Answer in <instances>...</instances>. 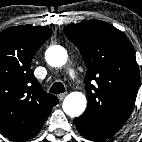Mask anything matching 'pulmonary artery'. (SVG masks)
Segmentation results:
<instances>
[{"instance_id": "pulmonary-artery-1", "label": "pulmonary artery", "mask_w": 142, "mask_h": 142, "mask_svg": "<svg viewBox=\"0 0 142 142\" xmlns=\"http://www.w3.org/2000/svg\"><path fill=\"white\" fill-rule=\"evenodd\" d=\"M68 73L71 78H75V71L72 68L69 69Z\"/></svg>"}]
</instances>
